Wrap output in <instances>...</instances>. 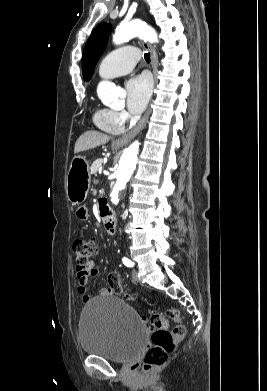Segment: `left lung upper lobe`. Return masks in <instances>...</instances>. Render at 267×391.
I'll return each mask as SVG.
<instances>
[{
	"label": "left lung upper lobe",
	"mask_w": 267,
	"mask_h": 391,
	"mask_svg": "<svg viewBox=\"0 0 267 391\" xmlns=\"http://www.w3.org/2000/svg\"><path fill=\"white\" fill-rule=\"evenodd\" d=\"M111 25L107 23L99 24L91 33L82 55V71L86 81L92 77L95 65L106 46Z\"/></svg>",
	"instance_id": "left-lung-upper-lobe-1"
}]
</instances>
